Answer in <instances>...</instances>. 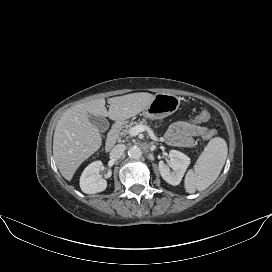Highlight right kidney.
Here are the masks:
<instances>
[{
	"label": "right kidney",
	"instance_id": "1",
	"mask_svg": "<svg viewBox=\"0 0 272 272\" xmlns=\"http://www.w3.org/2000/svg\"><path fill=\"white\" fill-rule=\"evenodd\" d=\"M102 167L101 161L89 164L80 177V188L86 194L102 192L107 187V181L99 174Z\"/></svg>",
	"mask_w": 272,
	"mask_h": 272
}]
</instances>
